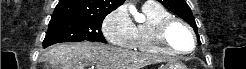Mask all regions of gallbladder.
I'll return each mask as SVG.
<instances>
[{
  "label": "gallbladder",
  "mask_w": 246,
  "mask_h": 69,
  "mask_svg": "<svg viewBox=\"0 0 246 69\" xmlns=\"http://www.w3.org/2000/svg\"><path fill=\"white\" fill-rule=\"evenodd\" d=\"M45 68H46V69H49V68L57 69L58 67H53L51 64L46 63V64H45Z\"/></svg>",
  "instance_id": "1"
}]
</instances>
